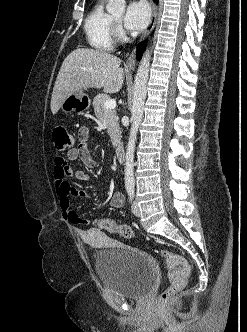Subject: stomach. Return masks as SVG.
<instances>
[{
	"mask_svg": "<svg viewBox=\"0 0 247 332\" xmlns=\"http://www.w3.org/2000/svg\"><path fill=\"white\" fill-rule=\"evenodd\" d=\"M90 106V99L83 92L79 90L69 95L61 104L60 109L66 114L78 113L88 109Z\"/></svg>",
	"mask_w": 247,
	"mask_h": 332,
	"instance_id": "0dacf381",
	"label": "stomach"
}]
</instances>
